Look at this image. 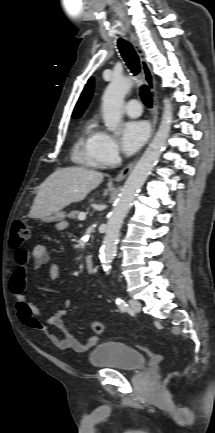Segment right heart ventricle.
Here are the masks:
<instances>
[{
	"label": "right heart ventricle",
	"instance_id": "e07e8e85",
	"mask_svg": "<svg viewBox=\"0 0 215 433\" xmlns=\"http://www.w3.org/2000/svg\"><path fill=\"white\" fill-rule=\"evenodd\" d=\"M98 138L99 130L94 123H88L74 146V160L89 167H101L102 163L97 155Z\"/></svg>",
	"mask_w": 215,
	"mask_h": 433
}]
</instances>
